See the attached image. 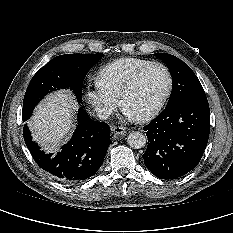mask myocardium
Wrapping results in <instances>:
<instances>
[{
	"label": "myocardium",
	"mask_w": 233,
	"mask_h": 233,
	"mask_svg": "<svg viewBox=\"0 0 233 233\" xmlns=\"http://www.w3.org/2000/svg\"><path fill=\"white\" fill-rule=\"evenodd\" d=\"M153 66H158V67H161L165 70L167 77H168V86H167L166 92L163 95V97L151 110H149L148 112H146L140 116L135 117V119L139 122H145V121L151 120L152 118L157 116L160 113V111L163 109L165 104L167 103L168 99L170 98L172 90H173L174 79H173V75H172V72L169 69V67L167 65H165L164 63L157 62V61H152L150 63L143 65L142 67L137 69L132 74V76L129 78V80L127 81V83L123 87L121 94H120V97H119L120 104L125 109V100H126L127 96L134 89V87L136 86V84L139 81L142 74L147 69H149L150 67H153Z\"/></svg>",
	"instance_id": "myocardium-1"
}]
</instances>
